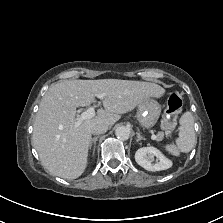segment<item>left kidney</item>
I'll return each instance as SVG.
<instances>
[{"instance_id": "5707ae66", "label": "left kidney", "mask_w": 223, "mask_h": 223, "mask_svg": "<svg viewBox=\"0 0 223 223\" xmlns=\"http://www.w3.org/2000/svg\"><path fill=\"white\" fill-rule=\"evenodd\" d=\"M135 160L141 167L153 172L172 167V161L153 146L139 148L135 153ZM154 161L155 163H153Z\"/></svg>"}]
</instances>
